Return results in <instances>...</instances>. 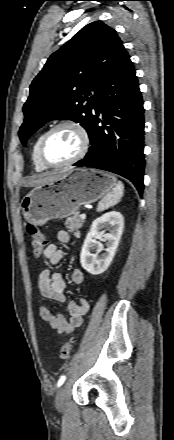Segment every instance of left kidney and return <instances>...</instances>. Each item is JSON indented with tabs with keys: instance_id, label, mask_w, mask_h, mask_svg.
Returning <instances> with one entry per match:
<instances>
[{
	"instance_id": "1",
	"label": "left kidney",
	"mask_w": 174,
	"mask_h": 440,
	"mask_svg": "<svg viewBox=\"0 0 174 440\" xmlns=\"http://www.w3.org/2000/svg\"><path fill=\"white\" fill-rule=\"evenodd\" d=\"M108 229L109 233L103 235L101 229ZM124 218L120 212L110 211L98 217L92 222L89 233L84 240L82 251L80 254V262L82 267L92 275H99L106 271L111 264L120 238L123 233ZM102 237V241L106 242V249L95 237ZM98 249V252L104 250L101 256L98 253L93 254L92 250Z\"/></svg>"
}]
</instances>
